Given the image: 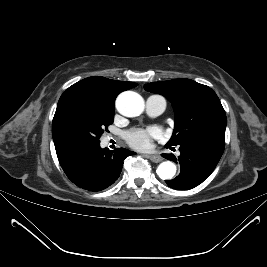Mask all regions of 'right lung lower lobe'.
I'll return each instance as SVG.
<instances>
[{
  "instance_id": "right-lung-lower-lobe-1",
  "label": "right lung lower lobe",
  "mask_w": 267,
  "mask_h": 267,
  "mask_svg": "<svg viewBox=\"0 0 267 267\" xmlns=\"http://www.w3.org/2000/svg\"><path fill=\"white\" fill-rule=\"evenodd\" d=\"M135 154L125 148L112 151L99 144L73 147L57 153L67 177L78 187L89 191H101L119 177L123 160Z\"/></svg>"
}]
</instances>
